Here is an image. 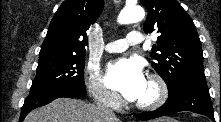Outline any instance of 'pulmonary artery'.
<instances>
[{"label":"pulmonary artery","mask_w":221,"mask_h":122,"mask_svg":"<svg viewBox=\"0 0 221 122\" xmlns=\"http://www.w3.org/2000/svg\"><path fill=\"white\" fill-rule=\"evenodd\" d=\"M142 35L138 31H131L126 38L119 39L108 43L105 50L110 53H119L125 51L129 46L138 45L142 43Z\"/></svg>","instance_id":"pulmonary-artery-1"}]
</instances>
